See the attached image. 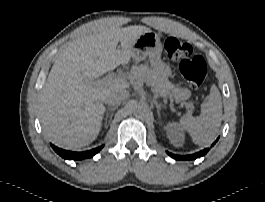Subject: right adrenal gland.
Instances as JSON below:
<instances>
[{"label": "right adrenal gland", "mask_w": 265, "mask_h": 202, "mask_svg": "<svg viewBox=\"0 0 265 202\" xmlns=\"http://www.w3.org/2000/svg\"><path fill=\"white\" fill-rule=\"evenodd\" d=\"M117 109V106L115 107H109L108 109H106L105 111V120L106 122L108 121V124L111 122L114 111Z\"/></svg>", "instance_id": "obj_1"}]
</instances>
